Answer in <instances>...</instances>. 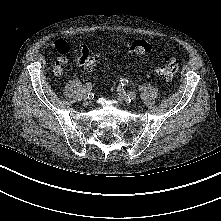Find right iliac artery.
<instances>
[{
  "label": "right iliac artery",
  "instance_id": "1",
  "mask_svg": "<svg viewBox=\"0 0 221 221\" xmlns=\"http://www.w3.org/2000/svg\"><path fill=\"white\" fill-rule=\"evenodd\" d=\"M84 87H85L86 90L90 91L92 89V84L88 82V83L85 84Z\"/></svg>",
  "mask_w": 221,
  "mask_h": 221
}]
</instances>
